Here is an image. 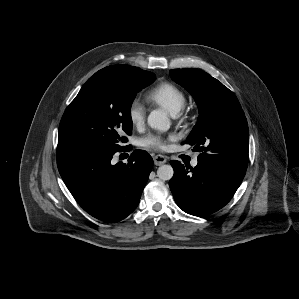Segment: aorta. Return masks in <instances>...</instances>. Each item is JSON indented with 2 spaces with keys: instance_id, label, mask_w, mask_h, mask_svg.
<instances>
[{
  "instance_id": "aorta-1",
  "label": "aorta",
  "mask_w": 299,
  "mask_h": 299,
  "mask_svg": "<svg viewBox=\"0 0 299 299\" xmlns=\"http://www.w3.org/2000/svg\"><path fill=\"white\" fill-rule=\"evenodd\" d=\"M148 125L160 131H167L170 128V120L163 110H153L148 118ZM174 170L171 165H162L157 170V176L163 181L170 180L173 177Z\"/></svg>"
}]
</instances>
